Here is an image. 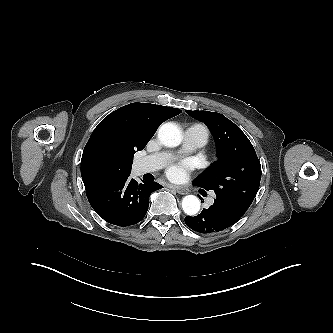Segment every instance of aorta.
Returning <instances> with one entry per match:
<instances>
[{"mask_svg": "<svg viewBox=\"0 0 333 333\" xmlns=\"http://www.w3.org/2000/svg\"><path fill=\"white\" fill-rule=\"evenodd\" d=\"M160 141L167 147H176L182 141L181 131L178 126L172 122L161 125L158 131ZM201 202L198 197L194 195H187L182 200L183 211L193 216L200 210Z\"/></svg>", "mask_w": 333, "mask_h": 333, "instance_id": "aorta-1", "label": "aorta"}]
</instances>
